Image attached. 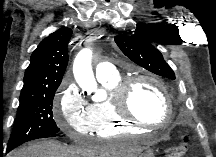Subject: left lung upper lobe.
Returning a JSON list of instances; mask_svg holds the SVG:
<instances>
[{"label":"left lung upper lobe","instance_id":"obj_1","mask_svg":"<svg viewBox=\"0 0 216 157\" xmlns=\"http://www.w3.org/2000/svg\"><path fill=\"white\" fill-rule=\"evenodd\" d=\"M114 40L121 51L139 66L159 76L175 79L173 70L165 62L161 52L153 46L154 40L149 33L117 35Z\"/></svg>","mask_w":216,"mask_h":157}]
</instances>
